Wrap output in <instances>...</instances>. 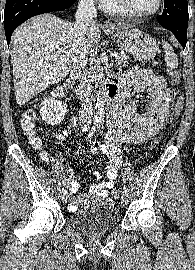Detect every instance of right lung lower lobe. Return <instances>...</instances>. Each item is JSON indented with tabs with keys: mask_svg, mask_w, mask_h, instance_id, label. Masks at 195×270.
Wrapping results in <instances>:
<instances>
[{
	"mask_svg": "<svg viewBox=\"0 0 195 270\" xmlns=\"http://www.w3.org/2000/svg\"><path fill=\"white\" fill-rule=\"evenodd\" d=\"M64 0H6L4 13V28L7 44L15 28L21 23L42 13H65L68 12L77 0H68V8L59 6Z\"/></svg>",
	"mask_w": 195,
	"mask_h": 270,
	"instance_id": "98d812e1",
	"label": "right lung lower lobe"
}]
</instances>
